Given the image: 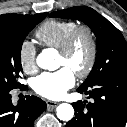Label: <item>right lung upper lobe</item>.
Returning <instances> with one entry per match:
<instances>
[{
  "label": "right lung upper lobe",
  "mask_w": 127,
  "mask_h": 127,
  "mask_svg": "<svg viewBox=\"0 0 127 127\" xmlns=\"http://www.w3.org/2000/svg\"><path fill=\"white\" fill-rule=\"evenodd\" d=\"M33 15L3 14L0 15V22L15 23L26 20Z\"/></svg>",
  "instance_id": "1"
}]
</instances>
